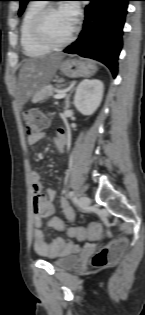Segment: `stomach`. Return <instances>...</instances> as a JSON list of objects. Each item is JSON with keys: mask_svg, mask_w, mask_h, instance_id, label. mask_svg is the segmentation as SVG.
I'll return each mask as SVG.
<instances>
[{"mask_svg": "<svg viewBox=\"0 0 145 315\" xmlns=\"http://www.w3.org/2000/svg\"><path fill=\"white\" fill-rule=\"evenodd\" d=\"M61 64H68V71H61L64 75L70 78L81 76H89L93 74L96 67L92 61H80L77 59H69Z\"/></svg>", "mask_w": 145, "mask_h": 315, "instance_id": "0dacf381", "label": "stomach"}]
</instances>
